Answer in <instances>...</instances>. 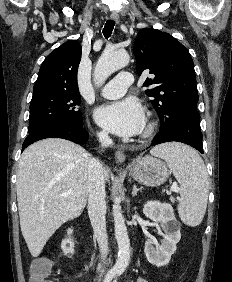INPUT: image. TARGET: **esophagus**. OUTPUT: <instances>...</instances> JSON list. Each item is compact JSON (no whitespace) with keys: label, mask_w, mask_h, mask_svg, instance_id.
Masks as SVG:
<instances>
[{"label":"esophagus","mask_w":232,"mask_h":282,"mask_svg":"<svg viewBox=\"0 0 232 282\" xmlns=\"http://www.w3.org/2000/svg\"><path fill=\"white\" fill-rule=\"evenodd\" d=\"M110 19L114 20L117 24L119 23L120 19H119V15L115 12H112L110 14ZM115 159L118 163H123L126 159L125 154L121 151V150H117L115 152Z\"/></svg>","instance_id":"obj_1"}]
</instances>
